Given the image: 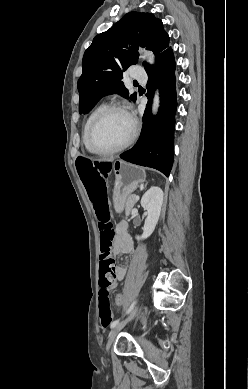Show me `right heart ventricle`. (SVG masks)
Returning a JSON list of instances; mask_svg holds the SVG:
<instances>
[{
  "mask_svg": "<svg viewBox=\"0 0 248 389\" xmlns=\"http://www.w3.org/2000/svg\"><path fill=\"white\" fill-rule=\"evenodd\" d=\"M104 107L103 104H99L97 105L91 112L90 114L88 115L85 123H84V127H83V143L85 145V147L89 150L88 148V145H87V132H88V128H89V125L91 123V121L93 120V118L95 117V115ZM90 151V150H89ZM91 152V151H90Z\"/></svg>",
  "mask_w": 248,
  "mask_h": 389,
  "instance_id": "1",
  "label": "right heart ventricle"
}]
</instances>
